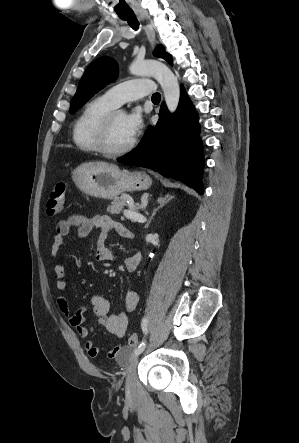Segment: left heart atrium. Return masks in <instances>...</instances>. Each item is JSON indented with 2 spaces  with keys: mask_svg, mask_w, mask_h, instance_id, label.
<instances>
[{
  "mask_svg": "<svg viewBox=\"0 0 299 443\" xmlns=\"http://www.w3.org/2000/svg\"><path fill=\"white\" fill-rule=\"evenodd\" d=\"M144 119L140 109H134L125 115V125L129 133L135 137L143 127Z\"/></svg>",
  "mask_w": 299,
  "mask_h": 443,
  "instance_id": "1",
  "label": "left heart atrium"
}]
</instances>
